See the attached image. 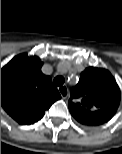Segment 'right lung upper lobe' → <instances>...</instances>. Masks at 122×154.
Listing matches in <instances>:
<instances>
[{
	"instance_id": "1",
	"label": "right lung upper lobe",
	"mask_w": 122,
	"mask_h": 154,
	"mask_svg": "<svg viewBox=\"0 0 122 154\" xmlns=\"http://www.w3.org/2000/svg\"><path fill=\"white\" fill-rule=\"evenodd\" d=\"M37 56H15L1 69V105L20 124L40 120L45 110L61 98L49 76L41 72Z\"/></svg>"
}]
</instances>
